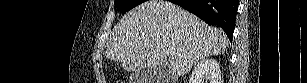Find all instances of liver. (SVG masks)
Returning a JSON list of instances; mask_svg holds the SVG:
<instances>
[{
  "label": "liver",
  "mask_w": 307,
  "mask_h": 83,
  "mask_svg": "<svg viewBox=\"0 0 307 83\" xmlns=\"http://www.w3.org/2000/svg\"><path fill=\"white\" fill-rule=\"evenodd\" d=\"M228 43L221 29L208 26L180 6L149 0L120 19L111 31L105 55L128 72L155 67L178 77L197 61L224 53ZM171 49L178 54L167 60Z\"/></svg>",
  "instance_id": "1"
}]
</instances>
